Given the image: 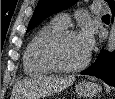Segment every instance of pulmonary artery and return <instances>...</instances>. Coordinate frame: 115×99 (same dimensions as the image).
Listing matches in <instances>:
<instances>
[{
  "label": "pulmonary artery",
  "mask_w": 115,
  "mask_h": 99,
  "mask_svg": "<svg viewBox=\"0 0 115 99\" xmlns=\"http://www.w3.org/2000/svg\"><path fill=\"white\" fill-rule=\"evenodd\" d=\"M92 12L95 14H102L108 12V8L104 6L102 2L97 1L92 6ZM54 21L59 25L65 27L69 23V16L65 13H60L54 18Z\"/></svg>",
  "instance_id": "e3ab8cb5"
}]
</instances>
